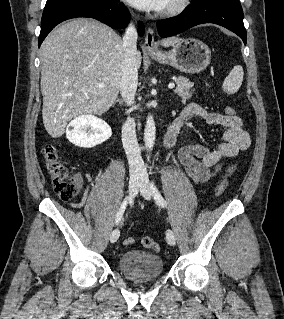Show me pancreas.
<instances>
[{
    "instance_id": "pancreas-1",
    "label": "pancreas",
    "mask_w": 284,
    "mask_h": 319,
    "mask_svg": "<svg viewBox=\"0 0 284 319\" xmlns=\"http://www.w3.org/2000/svg\"><path fill=\"white\" fill-rule=\"evenodd\" d=\"M177 87L175 89V93H177L183 101L192 97L193 83L189 81L188 78L179 76L176 80Z\"/></svg>"
}]
</instances>
